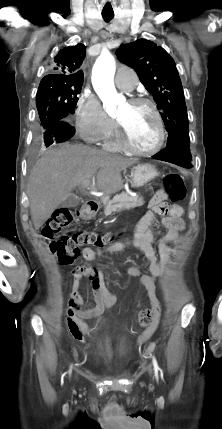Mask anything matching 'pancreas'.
<instances>
[{
  "instance_id": "1",
  "label": "pancreas",
  "mask_w": 222,
  "mask_h": 429,
  "mask_svg": "<svg viewBox=\"0 0 222 429\" xmlns=\"http://www.w3.org/2000/svg\"><path fill=\"white\" fill-rule=\"evenodd\" d=\"M144 204V200L139 196H131L128 193L116 195L112 200L105 201L104 213L110 215L120 209H132Z\"/></svg>"
}]
</instances>
